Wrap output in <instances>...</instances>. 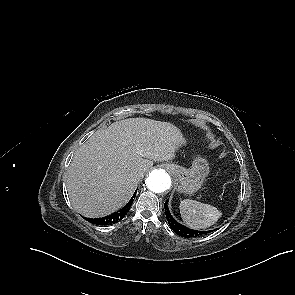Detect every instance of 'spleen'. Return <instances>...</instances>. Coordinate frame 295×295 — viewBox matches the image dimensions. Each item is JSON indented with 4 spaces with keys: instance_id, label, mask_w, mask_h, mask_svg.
Returning a JSON list of instances; mask_svg holds the SVG:
<instances>
[{
    "instance_id": "spleen-1",
    "label": "spleen",
    "mask_w": 295,
    "mask_h": 295,
    "mask_svg": "<svg viewBox=\"0 0 295 295\" xmlns=\"http://www.w3.org/2000/svg\"><path fill=\"white\" fill-rule=\"evenodd\" d=\"M180 214L187 226L193 229H205L215 224L221 212L214 206L191 199L180 203Z\"/></svg>"
}]
</instances>
